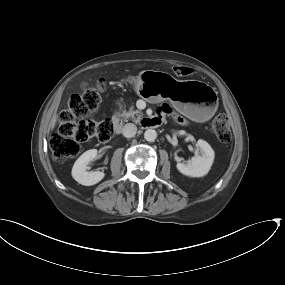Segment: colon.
I'll list each match as a JSON object with an SVG mask.
<instances>
[{"label": "colon", "mask_w": 285, "mask_h": 285, "mask_svg": "<svg viewBox=\"0 0 285 285\" xmlns=\"http://www.w3.org/2000/svg\"><path fill=\"white\" fill-rule=\"evenodd\" d=\"M174 74L180 78L189 77L193 74V69L177 66L174 68ZM104 88V82L100 80L94 87L74 94L69 100L68 107L60 113L58 131L50 139V147L57 161L65 162L76 156L80 151V144L93 137L102 142L111 139L114 131L112 120L95 122L88 119V116L98 108ZM211 128L220 142L227 143L231 140L230 124L225 114L217 115Z\"/></svg>", "instance_id": "5ec220e1"}]
</instances>
